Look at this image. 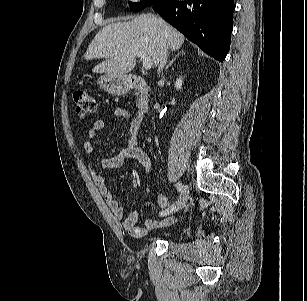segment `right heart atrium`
I'll list each match as a JSON object with an SVG mask.
<instances>
[{"instance_id":"1","label":"right heart atrium","mask_w":307,"mask_h":301,"mask_svg":"<svg viewBox=\"0 0 307 301\" xmlns=\"http://www.w3.org/2000/svg\"><path fill=\"white\" fill-rule=\"evenodd\" d=\"M131 1L134 2V3H139V2H141L143 0H131Z\"/></svg>"}]
</instances>
